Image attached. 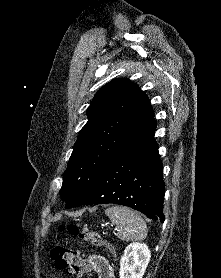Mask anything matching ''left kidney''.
<instances>
[{"instance_id": "5707ae66", "label": "left kidney", "mask_w": 221, "mask_h": 278, "mask_svg": "<svg viewBox=\"0 0 221 278\" xmlns=\"http://www.w3.org/2000/svg\"><path fill=\"white\" fill-rule=\"evenodd\" d=\"M150 257L151 253L146 244H129L120 260V278H142Z\"/></svg>"}]
</instances>
